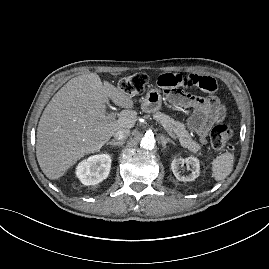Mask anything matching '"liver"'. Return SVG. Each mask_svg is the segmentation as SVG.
Masks as SVG:
<instances>
[{
	"mask_svg": "<svg viewBox=\"0 0 269 269\" xmlns=\"http://www.w3.org/2000/svg\"><path fill=\"white\" fill-rule=\"evenodd\" d=\"M108 99L125 108L107 114ZM134 102L123 90L90 73L69 80L44 109L37 128L36 156L49 179H58L78 160L98 152L117 130L137 121Z\"/></svg>",
	"mask_w": 269,
	"mask_h": 269,
	"instance_id": "obj_1",
	"label": "liver"
}]
</instances>
